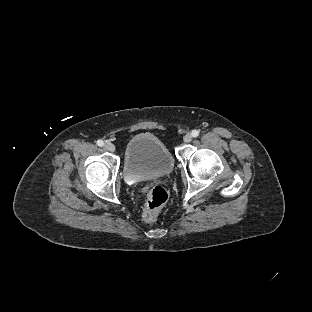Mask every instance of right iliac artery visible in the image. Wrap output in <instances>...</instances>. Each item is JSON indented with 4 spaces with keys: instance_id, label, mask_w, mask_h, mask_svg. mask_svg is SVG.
I'll use <instances>...</instances> for the list:
<instances>
[{
    "instance_id": "obj_1",
    "label": "right iliac artery",
    "mask_w": 312,
    "mask_h": 312,
    "mask_svg": "<svg viewBox=\"0 0 312 312\" xmlns=\"http://www.w3.org/2000/svg\"><path fill=\"white\" fill-rule=\"evenodd\" d=\"M97 145L100 146V147H102V146L104 145V142H103L102 140H98V141H97Z\"/></svg>"
}]
</instances>
